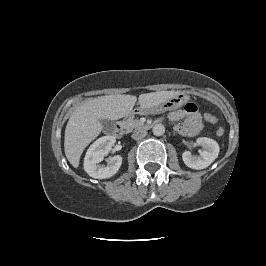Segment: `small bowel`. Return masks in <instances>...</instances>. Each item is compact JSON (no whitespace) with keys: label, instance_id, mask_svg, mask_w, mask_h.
I'll list each match as a JSON object with an SVG mask.
<instances>
[{"label":"small bowel","instance_id":"obj_1","mask_svg":"<svg viewBox=\"0 0 266 266\" xmlns=\"http://www.w3.org/2000/svg\"><path fill=\"white\" fill-rule=\"evenodd\" d=\"M168 118L172 122H183L175 125V130L184 136H195L202 129L201 115L195 103L189 102L182 109L171 111Z\"/></svg>","mask_w":266,"mask_h":266}]
</instances>
